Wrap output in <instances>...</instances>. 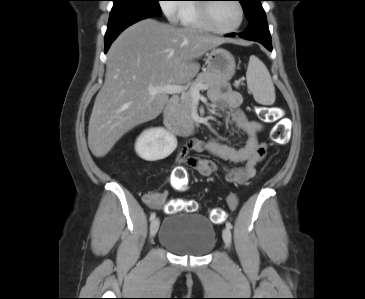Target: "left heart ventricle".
Masks as SVG:
<instances>
[{
  "label": "left heart ventricle",
  "instance_id": "left-heart-ventricle-1",
  "mask_svg": "<svg viewBox=\"0 0 365 299\" xmlns=\"http://www.w3.org/2000/svg\"><path fill=\"white\" fill-rule=\"evenodd\" d=\"M213 25L226 29L236 26L240 19V11L234 1L214 3L211 8Z\"/></svg>",
  "mask_w": 365,
  "mask_h": 299
}]
</instances>
